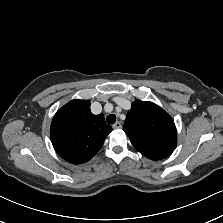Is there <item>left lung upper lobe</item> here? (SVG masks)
I'll return each mask as SVG.
<instances>
[{
    "label": "left lung upper lobe",
    "instance_id": "left-lung-upper-lobe-1",
    "mask_svg": "<svg viewBox=\"0 0 223 223\" xmlns=\"http://www.w3.org/2000/svg\"><path fill=\"white\" fill-rule=\"evenodd\" d=\"M123 129L134 148L152 160L169 156L177 144L173 119L152 102L134 101Z\"/></svg>",
    "mask_w": 223,
    "mask_h": 223
}]
</instances>
